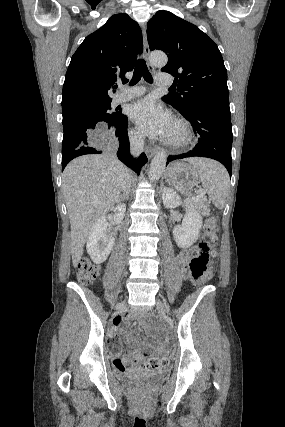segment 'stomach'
<instances>
[{"mask_svg": "<svg viewBox=\"0 0 285 427\" xmlns=\"http://www.w3.org/2000/svg\"><path fill=\"white\" fill-rule=\"evenodd\" d=\"M168 180L177 190L187 192L199 184V175L192 165L175 162L168 168Z\"/></svg>", "mask_w": 285, "mask_h": 427, "instance_id": "stomach-1", "label": "stomach"}]
</instances>
